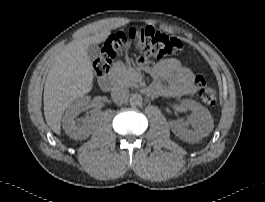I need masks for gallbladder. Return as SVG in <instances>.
<instances>
[{
    "mask_svg": "<svg viewBox=\"0 0 265 202\" xmlns=\"http://www.w3.org/2000/svg\"><path fill=\"white\" fill-rule=\"evenodd\" d=\"M87 54L90 60H95L100 54L99 46L96 43H91L87 48Z\"/></svg>",
    "mask_w": 265,
    "mask_h": 202,
    "instance_id": "gallbladder-1",
    "label": "gallbladder"
}]
</instances>
